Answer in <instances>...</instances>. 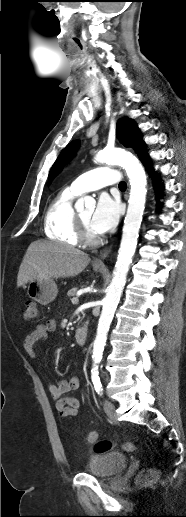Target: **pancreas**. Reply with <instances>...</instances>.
I'll list each match as a JSON object with an SVG mask.
<instances>
[{"instance_id": "1", "label": "pancreas", "mask_w": 186, "mask_h": 517, "mask_svg": "<svg viewBox=\"0 0 186 517\" xmlns=\"http://www.w3.org/2000/svg\"><path fill=\"white\" fill-rule=\"evenodd\" d=\"M78 288L77 287H73L72 289H70L68 292H67V295L69 297H74L76 295V292H77Z\"/></svg>"}]
</instances>
